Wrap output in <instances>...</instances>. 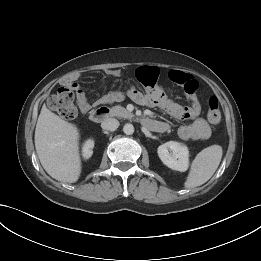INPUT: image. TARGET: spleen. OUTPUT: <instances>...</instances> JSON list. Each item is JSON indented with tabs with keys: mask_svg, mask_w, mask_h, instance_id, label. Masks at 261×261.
Masks as SVG:
<instances>
[{
	"mask_svg": "<svg viewBox=\"0 0 261 261\" xmlns=\"http://www.w3.org/2000/svg\"><path fill=\"white\" fill-rule=\"evenodd\" d=\"M222 154L220 145H212L199 152L191 163L184 187L191 189L206 183L217 170Z\"/></svg>",
	"mask_w": 261,
	"mask_h": 261,
	"instance_id": "3e777b00",
	"label": "spleen"
}]
</instances>
